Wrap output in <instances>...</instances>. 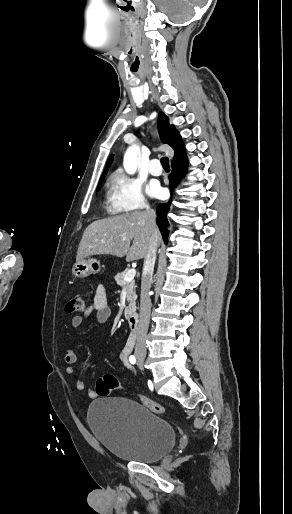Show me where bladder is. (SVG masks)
<instances>
[{"instance_id": "bladder-1", "label": "bladder", "mask_w": 292, "mask_h": 514, "mask_svg": "<svg viewBox=\"0 0 292 514\" xmlns=\"http://www.w3.org/2000/svg\"><path fill=\"white\" fill-rule=\"evenodd\" d=\"M87 422L98 442L120 460L154 462L167 455L177 441L170 422L127 398L94 400L87 410Z\"/></svg>"}]
</instances>
